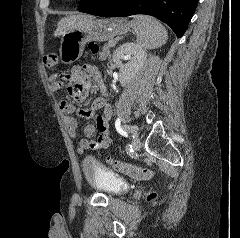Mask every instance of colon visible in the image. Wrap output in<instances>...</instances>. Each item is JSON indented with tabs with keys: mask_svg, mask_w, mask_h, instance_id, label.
I'll return each mask as SVG.
<instances>
[{
	"mask_svg": "<svg viewBox=\"0 0 240 238\" xmlns=\"http://www.w3.org/2000/svg\"><path fill=\"white\" fill-rule=\"evenodd\" d=\"M90 49L93 52H97L98 46L95 43H90ZM43 64L47 68H53L57 64V55L54 53H48L43 57ZM107 163L113 167L115 170L126 174L135 179H149L152 176V171L148 168H143L131 164H127L121 161L108 159ZM154 195L151 194L152 198Z\"/></svg>",
	"mask_w": 240,
	"mask_h": 238,
	"instance_id": "obj_1",
	"label": "colon"
}]
</instances>
